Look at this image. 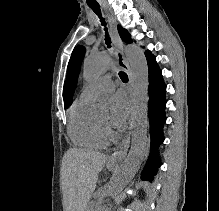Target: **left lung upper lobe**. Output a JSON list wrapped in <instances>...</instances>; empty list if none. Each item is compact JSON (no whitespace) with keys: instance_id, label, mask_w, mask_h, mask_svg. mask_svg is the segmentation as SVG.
Segmentation results:
<instances>
[{"instance_id":"1","label":"left lung upper lobe","mask_w":219,"mask_h":211,"mask_svg":"<svg viewBox=\"0 0 219 211\" xmlns=\"http://www.w3.org/2000/svg\"><path fill=\"white\" fill-rule=\"evenodd\" d=\"M118 30L124 42L126 43L132 42V40L130 39V35L126 29H123L121 26H118ZM148 53L150 52L147 50L145 54ZM84 54H85V48L83 46L75 47L68 64L66 85L69 88L70 102H72V96H73L74 88L76 86V81L80 71V65L84 57Z\"/></svg>"}]
</instances>
